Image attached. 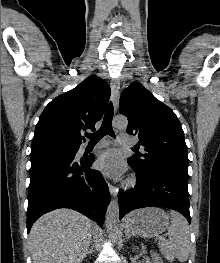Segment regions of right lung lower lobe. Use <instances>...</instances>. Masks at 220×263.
Wrapping results in <instances>:
<instances>
[{
	"label": "right lung lower lobe",
	"mask_w": 220,
	"mask_h": 263,
	"mask_svg": "<svg viewBox=\"0 0 220 263\" xmlns=\"http://www.w3.org/2000/svg\"><path fill=\"white\" fill-rule=\"evenodd\" d=\"M76 153L31 152L28 232L41 215L57 208L74 209L103 225L110 202L108 186L99 171L90 169L94 156L76 160Z\"/></svg>",
	"instance_id": "obj_1"
}]
</instances>
